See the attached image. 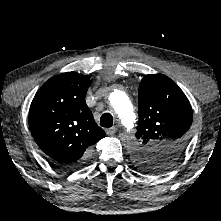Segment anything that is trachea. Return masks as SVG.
<instances>
[{
    "label": "trachea",
    "instance_id": "trachea-1",
    "mask_svg": "<svg viewBox=\"0 0 221 221\" xmlns=\"http://www.w3.org/2000/svg\"><path fill=\"white\" fill-rule=\"evenodd\" d=\"M100 125L105 128H110L113 125V117L110 113H104L100 118Z\"/></svg>",
    "mask_w": 221,
    "mask_h": 221
}]
</instances>
